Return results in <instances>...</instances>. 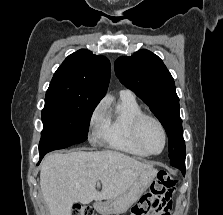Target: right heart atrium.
Instances as JSON below:
<instances>
[{
	"label": "right heart atrium",
	"mask_w": 223,
	"mask_h": 215,
	"mask_svg": "<svg viewBox=\"0 0 223 215\" xmlns=\"http://www.w3.org/2000/svg\"><path fill=\"white\" fill-rule=\"evenodd\" d=\"M105 109L103 105H97L91 113L89 120V128L93 130L96 135L104 126Z\"/></svg>",
	"instance_id": "1"
}]
</instances>
